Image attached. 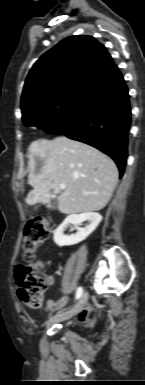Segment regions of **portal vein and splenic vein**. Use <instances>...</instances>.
I'll return each mask as SVG.
<instances>
[{"mask_svg":"<svg viewBox=\"0 0 145 385\" xmlns=\"http://www.w3.org/2000/svg\"><path fill=\"white\" fill-rule=\"evenodd\" d=\"M59 188L60 189H65V184H63V183L59 184Z\"/></svg>","mask_w":145,"mask_h":385,"instance_id":"obj_1","label":"portal vein and splenic vein"}]
</instances>
